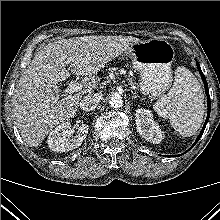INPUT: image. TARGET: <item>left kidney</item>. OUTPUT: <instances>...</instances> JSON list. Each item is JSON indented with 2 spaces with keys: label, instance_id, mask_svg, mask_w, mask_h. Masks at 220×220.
Segmentation results:
<instances>
[{
  "label": "left kidney",
  "instance_id": "1",
  "mask_svg": "<svg viewBox=\"0 0 220 220\" xmlns=\"http://www.w3.org/2000/svg\"><path fill=\"white\" fill-rule=\"evenodd\" d=\"M136 129L140 136L154 144H159L163 139L159 125L154 121L151 111L147 109H137Z\"/></svg>",
  "mask_w": 220,
  "mask_h": 220
}]
</instances>
